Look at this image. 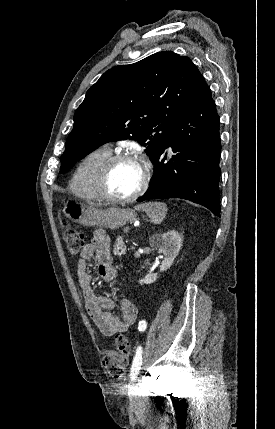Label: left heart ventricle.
<instances>
[{"label": "left heart ventricle", "mask_w": 275, "mask_h": 429, "mask_svg": "<svg viewBox=\"0 0 275 429\" xmlns=\"http://www.w3.org/2000/svg\"><path fill=\"white\" fill-rule=\"evenodd\" d=\"M142 167L134 160L118 162L112 169L108 182V191L117 197H126L134 193L142 180Z\"/></svg>", "instance_id": "obj_1"}]
</instances>
